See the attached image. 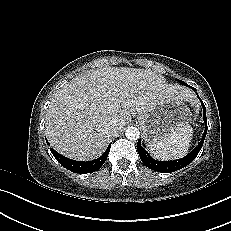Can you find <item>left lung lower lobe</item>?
<instances>
[{
  "label": "left lung lower lobe",
  "mask_w": 231,
  "mask_h": 231,
  "mask_svg": "<svg viewBox=\"0 0 231 231\" xmlns=\"http://www.w3.org/2000/svg\"><path fill=\"white\" fill-rule=\"evenodd\" d=\"M182 84L192 88L195 90V88L187 85L186 83L182 82ZM198 96V94H197ZM198 98L200 99V97L198 96ZM202 107H203V119L205 122V130L203 133V137L201 139V141L199 142L198 146L193 149L187 156L178 159V160H173V161H157L155 159H153L148 152L141 146L140 144V140L137 143V150L140 156L141 161L144 163L145 166H147L148 168L157 171V172H162V173H171L174 171H177L181 168H184L185 166H187L188 164H190L198 155L199 151L201 150L206 134H207V118H206V108L204 103L202 102V100L200 99Z\"/></svg>",
  "instance_id": "1"
}]
</instances>
